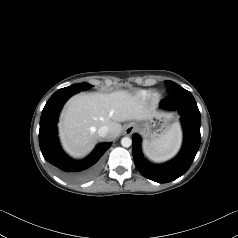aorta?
<instances>
[{"label": "aorta", "instance_id": "aorta-1", "mask_svg": "<svg viewBox=\"0 0 238 238\" xmlns=\"http://www.w3.org/2000/svg\"><path fill=\"white\" fill-rule=\"evenodd\" d=\"M121 145H122L123 147H126V148L130 147V146L132 145V140H131V138H129V137H123V138L121 139Z\"/></svg>", "mask_w": 238, "mask_h": 238}]
</instances>
